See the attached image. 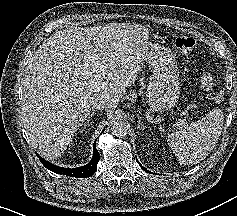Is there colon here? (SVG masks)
Masks as SVG:
<instances>
[{
  "mask_svg": "<svg viewBox=\"0 0 237 216\" xmlns=\"http://www.w3.org/2000/svg\"><path fill=\"white\" fill-rule=\"evenodd\" d=\"M195 46V40L192 37L189 36H178L175 39V47L177 48V50L185 55L188 56L192 53L193 49ZM213 99L216 102H222L224 99V94L223 92L219 91V92H215L213 94Z\"/></svg>",
  "mask_w": 237,
  "mask_h": 216,
  "instance_id": "5ec220e1",
  "label": "colon"
}]
</instances>
